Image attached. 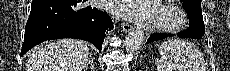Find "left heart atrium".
Wrapping results in <instances>:
<instances>
[{"label":"left heart atrium","instance_id":"left-heart-atrium-1","mask_svg":"<svg viewBox=\"0 0 230 71\" xmlns=\"http://www.w3.org/2000/svg\"><path fill=\"white\" fill-rule=\"evenodd\" d=\"M107 6L122 17L135 22H147L156 17V7L151 0H108Z\"/></svg>","mask_w":230,"mask_h":71}]
</instances>
